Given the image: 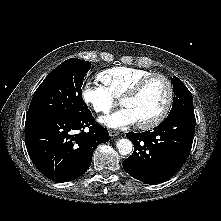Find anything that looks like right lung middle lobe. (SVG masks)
Wrapping results in <instances>:
<instances>
[{
    "instance_id": "dd1d6c3e",
    "label": "right lung middle lobe",
    "mask_w": 221,
    "mask_h": 221,
    "mask_svg": "<svg viewBox=\"0 0 221 221\" xmlns=\"http://www.w3.org/2000/svg\"><path fill=\"white\" fill-rule=\"evenodd\" d=\"M91 62L70 58L56 67L40 84L26 118L42 115L78 117L90 113L81 87Z\"/></svg>"
}]
</instances>
